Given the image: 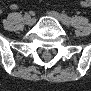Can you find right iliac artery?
<instances>
[{
	"instance_id": "obj_1",
	"label": "right iliac artery",
	"mask_w": 91,
	"mask_h": 91,
	"mask_svg": "<svg viewBox=\"0 0 91 91\" xmlns=\"http://www.w3.org/2000/svg\"><path fill=\"white\" fill-rule=\"evenodd\" d=\"M28 15H29V14L26 13L24 17H26V16H28Z\"/></svg>"
}]
</instances>
